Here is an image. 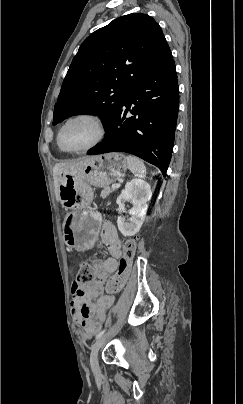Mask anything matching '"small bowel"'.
Wrapping results in <instances>:
<instances>
[{
	"label": "small bowel",
	"mask_w": 243,
	"mask_h": 404,
	"mask_svg": "<svg viewBox=\"0 0 243 404\" xmlns=\"http://www.w3.org/2000/svg\"><path fill=\"white\" fill-rule=\"evenodd\" d=\"M101 242L106 245L110 257L103 262H96L98 281L83 285L74 281L71 286V311L74 320L83 328V335L89 339L101 328L107 311L114 301L112 294L102 295V282L118 268V259L122 256L120 237L114 224L106 222L101 233ZM96 299V302H94Z\"/></svg>",
	"instance_id": "small-bowel-1"
}]
</instances>
